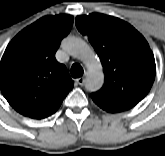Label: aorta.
Wrapping results in <instances>:
<instances>
[{"label":"aorta","mask_w":165,"mask_h":156,"mask_svg":"<svg viewBox=\"0 0 165 156\" xmlns=\"http://www.w3.org/2000/svg\"><path fill=\"white\" fill-rule=\"evenodd\" d=\"M62 47L69 55L83 61L87 66L86 89L90 92L99 90L104 82V74L94 50L84 40L77 37L66 38Z\"/></svg>","instance_id":"762f6f07"}]
</instances>
